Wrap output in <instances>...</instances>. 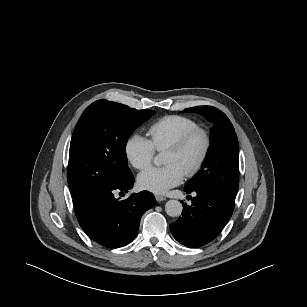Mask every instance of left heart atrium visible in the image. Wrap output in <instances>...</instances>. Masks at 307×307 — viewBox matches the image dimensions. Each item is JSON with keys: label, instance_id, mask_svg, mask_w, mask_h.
I'll return each instance as SVG.
<instances>
[{"label": "left heart atrium", "instance_id": "obj_1", "mask_svg": "<svg viewBox=\"0 0 307 307\" xmlns=\"http://www.w3.org/2000/svg\"><path fill=\"white\" fill-rule=\"evenodd\" d=\"M184 177V172L175 164L162 167H150L138 175V185L141 189L162 194L178 185Z\"/></svg>", "mask_w": 307, "mask_h": 307}]
</instances>
